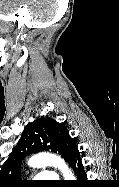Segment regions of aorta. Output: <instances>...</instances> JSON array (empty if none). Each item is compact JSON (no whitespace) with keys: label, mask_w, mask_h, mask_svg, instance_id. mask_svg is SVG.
<instances>
[{"label":"aorta","mask_w":119,"mask_h":187,"mask_svg":"<svg viewBox=\"0 0 119 187\" xmlns=\"http://www.w3.org/2000/svg\"><path fill=\"white\" fill-rule=\"evenodd\" d=\"M28 165L33 168L45 167L51 165L55 168H58L65 180H75V176L65 161L55 155L50 153H39L31 157L28 161Z\"/></svg>","instance_id":"obj_1"}]
</instances>
